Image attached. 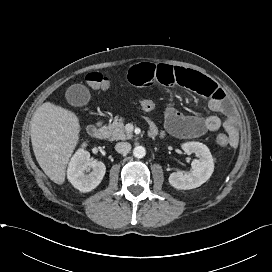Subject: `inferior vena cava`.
I'll use <instances>...</instances> for the list:
<instances>
[{
  "mask_svg": "<svg viewBox=\"0 0 272 272\" xmlns=\"http://www.w3.org/2000/svg\"><path fill=\"white\" fill-rule=\"evenodd\" d=\"M115 150L120 154H127L131 150V144L128 142H119L115 146Z\"/></svg>",
  "mask_w": 272,
  "mask_h": 272,
  "instance_id": "obj_1",
  "label": "inferior vena cava"
}]
</instances>
